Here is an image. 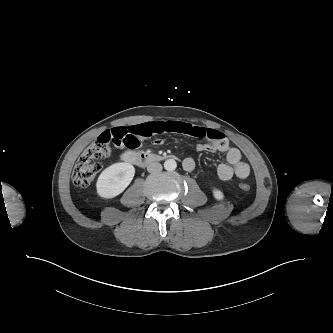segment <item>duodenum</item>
<instances>
[{
	"mask_svg": "<svg viewBox=\"0 0 333 333\" xmlns=\"http://www.w3.org/2000/svg\"><path fill=\"white\" fill-rule=\"evenodd\" d=\"M122 159L125 162L138 165L140 167H145L147 165L160 162L165 159H177L176 156L173 155H160L154 153H144V152H136V151H126L122 154ZM184 167V163H183Z\"/></svg>",
	"mask_w": 333,
	"mask_h": 333,
	"instance_id": "obj_1",
	"label": "duodenum"
}]
</instances>
